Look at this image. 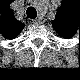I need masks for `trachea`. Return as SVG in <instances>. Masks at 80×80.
I'll use <instances>...</instances> for the list:
<instances>
[{"label":"trachea","mask_w":80,"mask_h":80,"mask_svg":"<svg viewBox=\"0 0 80 80\" xmlns=\"http://www.w3.org/2000/svg\"><path fill=\"white\" fill-rule=\"evenodd\" d=\"M26 14L30 19H35L37 17V12L34 7L27 8Z\"/></svg>","instance_id":"obj_1"}]
</instances>
